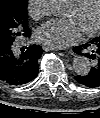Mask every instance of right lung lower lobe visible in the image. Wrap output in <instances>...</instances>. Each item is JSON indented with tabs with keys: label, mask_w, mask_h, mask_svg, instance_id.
Returning <instances> with one entry per match:
<instances>
[{
	"label": "right lung lower lobe",
	"mask_w": 100,
	"mask_h": 118,
	"mask_svg": "<svg viewBox=\"0 0 100 118\" xmlns=\"http://www.w3.org/2000/svg\"><path fill=\"white\" fill-rule=\"evenodd\" d=\"M42 52V48L35 44L18 52L13 41L1 42L0 79L16 86L32 81L38 74V60Z\"/></svg>",
	"instance_id": "obj_1"
}]
</instances>
